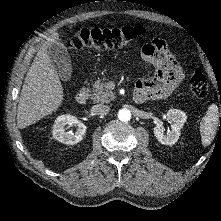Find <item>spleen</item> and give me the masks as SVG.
<instances>
[{
    "instance_id": "3e777b00",
    "label": "spleen",
    "mask_w": 221,
    "mask_h": 221,
    "mask_svg": "<svg viewBox=\"0 0 221 221\" xmlns=\"http://www.w3.org/2000/svg\"><path fill=\"white\" fill-rule=\"evenodd\" d=\"M219 124V113L216 104L209 106L206 115L200 123L201 140L204 147L211 144L217 132Z\"/></svg>"
}]
</instances>
